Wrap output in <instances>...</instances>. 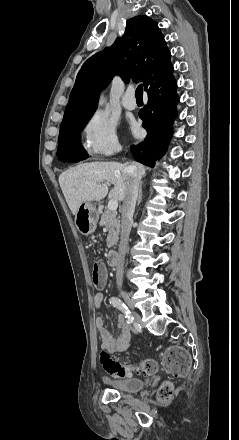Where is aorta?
<instances>
[{"mask_svg":"<svg viewBox=\"0 0 239 440\" xmlns=\"http://www.w3.org/2000/svg\"><path fill=\"white\" fill-rule=\"evenodd\" d=\"M103 102H104V98H101V100H100V106H102Z\"/></svg>","mask_w":239,"mask_h":440,"instance_id":"1","label":"aorta"}]
</instances>
